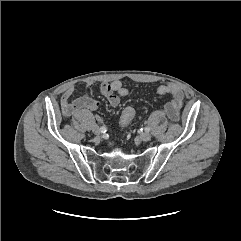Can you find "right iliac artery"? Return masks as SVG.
I'll list each match as a JSON object with an SVG mask.
<instances>
[{"label": "right iliac artery", "instance_id": "obj_1", "mask_svg": "<svg viewBox=\"0 0 241 241\" xmlns=\"http://www.w3.org/2000/svg\"><path fill=\"white\" fill-rule=\"evenodd\" d=\"M100 129H101L102 133H105L107 131V127L106 126H102V127H100Z\"/></svg>", "mask_w": 241, "mask_h": 241}]
</instances>
